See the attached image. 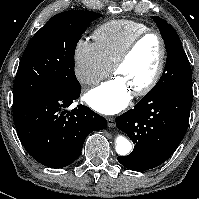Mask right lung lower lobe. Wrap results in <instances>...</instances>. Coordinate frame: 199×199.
I'll list each match as a JSON object with an SVG mask.
<instances>
[{
	"label": "right lung lower lobe",
	"instance_id": "obj_1",
	"mask_svg": "<svg viewBox=\"0 0 199 199\" xmlns=\"http://www.w3.org/2000/svg\"><path fill=\"white\" fill-rule=\"evenodd\" d=\"M80 92L81 89L49 93L13 110L18 136L39 163L50 168L73 163L88 134L106 127V119L87 106L66 110L80 97Z\"/></svg>",
	"mask_w": 199,
	"mask_h": 199
}]
</instances>
